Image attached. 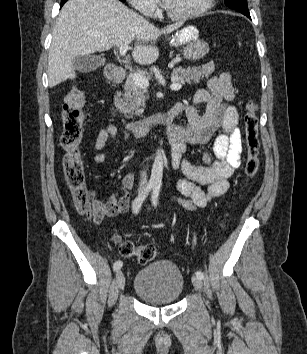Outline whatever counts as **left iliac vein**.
<instances>
[{
    "label": "left iliac vein",
    "instance_id": "1",
    "mask_svg": "<svg viewBox=\"0 0 307 354\" xmlns=\"http://www.w3.org/2000/svg\"><path fill=\"white\" fill-rule=\"evenodd\" d=\"M192 284L195 287V289L201 291L203 284L200 278H198L197 276H192Z\"/></svg>",
    "mask_w": 307,
    "mask_h": 354
}]
</instances>
